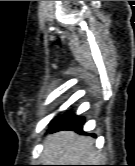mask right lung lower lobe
Segmentation results:
<instances>
[{
  "instance_id": "1",
  "label": "right lung lower lobe",
  "mask_w": 135,
  "mask_h": 166,
  "mask_svg": "<svg viewBox=\"0 0 135 166\" xmlns=\"http://www.w3.org/2000/svg\"><path fill=\"white\" fill-rule=\"evenodd\" d=\"M84 122V117L66 113L51 126L50 132L60 130H74L76 132H82Z\"/></svg>"
}]
</instances>
